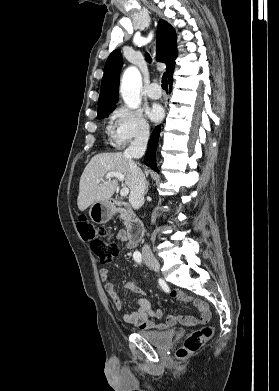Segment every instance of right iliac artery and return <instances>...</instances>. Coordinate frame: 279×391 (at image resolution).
Here are the masks:
<instances>
[{
  "label": "right iliac artery",
  "instance_id": "right-iliac-artery-1",
  "mask_svg": "<svg viewBox=\"0 0 279 391\" xmlns=\"http://www.w3.org/2000/svg\"><path fill=\"white\" fill-rule=\"evenodd\" d=\"M133 258H134V260H135L137 263L141 264V262H142V255H141V253H140L139 251H135V252H134Z\"/></svg>",
  "mask_w": 279,
  "mask_h": 391
}]
</instances>
